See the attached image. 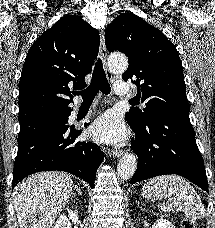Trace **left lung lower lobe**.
Masks as SVG:
<instances>
[{"label":"left lung lower lobe","instance_id":"0a47b994","mask_svg":"<svg viewBox=\"0 0 215 228\" xmlns=\"http://www.w3.org/2000/svg\"><path fill=\"white\" fill-rule=\"evenodd\" d=\"M131 128L136 135L131 141V148L138 156L131 184L159 175L177 174L209 192L203 158L196 144L189 113L156 114L146 126Z\"/></svg>","mask_w":215,"mask_h":228}]
</instances>
